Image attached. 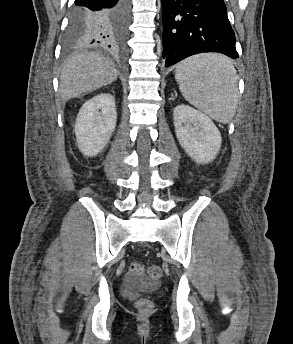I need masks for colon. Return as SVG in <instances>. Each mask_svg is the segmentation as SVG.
<instances>
[{"label": "colon", "mask_w": 293, "mask_h": 344, "mask_svg": "<svg viewBox=\"0 0 293 344\" xmlns=\"http://www.w3.org/2000/svg\"><path fill=\"white\" fill-rule=\"evenodd\" d=\"M128 274L134 279L147 275L150 279L157 281L162 276V269L157 264L150 265L147 269L140 263H132L129 267ZM136 308L141 313H147L152 310V302L148 299H139L136 302Z\"/></svg>", "instance_id": "obj_1"}]
</instances>
